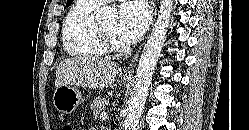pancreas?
<instances>
[{"label":"pancreas","mask_w":249,"mask_h":130,"mask_svg":"<svg viewBox=\"0 0 249 130\" xmlns=\"http://www.w3.org/2000/svg\"><path fill=\"white\" fill-rule=\"evenodd\" d=\"M105 108V98H102L100 96L96 97L92 104L90 105V109L93 112L94 118H98L100 115V112Z\"/></svg>","instance_id":"cf45deb5"}]
</instances>
